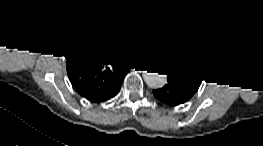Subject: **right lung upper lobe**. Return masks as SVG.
<instances>
[{"label": "right lung upper lobe", "instance_id": "1", "mask_svg": "<svg viewBox=\"0 0 263 146\" xmlns=\"http://www.w3.org/2000/svg\"><path fill=\"white\" fill-rule=\"evenodd\" d=\"M66 66L73 88L92 102L112 96L130 69L91 30L73 37L66 52Z\"/></svg>", "mask_w": 263, "mask_h": 146}]
</instances>
